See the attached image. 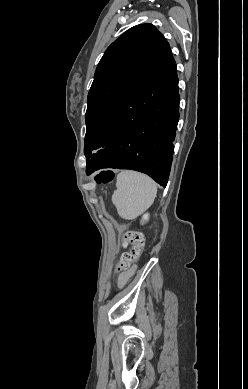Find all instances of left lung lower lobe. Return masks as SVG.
I'll return each instance as SVG.
<instances>
[{"label": "left lung lower lobe", "mask_w": 248, "mask_h": 389, "mask_svg": "<svg viewBox=\"0 0 248 389\" xmlns=\"http://www.w3.org/2000/svg\"><path fill=\"white\" fill-rule=\"evenodd\" d=\"M178 77L170 47L98 122L110 137L86 163L91 174L102 168L131 169L166 186L179 120Z\"/></svg>", "instance_id": "1"}]
</instances>
